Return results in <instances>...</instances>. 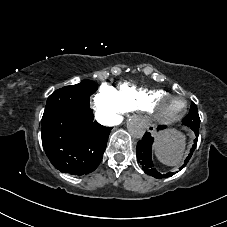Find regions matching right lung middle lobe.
<instances>
[{"label": "right lung middle lobe", "instance_id": "1", "mask_svg": "<svg viewBox=\"0 0 227 227\" xmlns=\"http://www.w3.org/2000/svg\"><path fill=\"white\" fill-rule=\"evenodd\" d=\"M97 85L91 80L66 86L54 91L47 99L42 118L66 109H84L90 107V96L96 92Z\"/></svg>", "mask_w": 227, "mask_h": 227}]
</instances>
